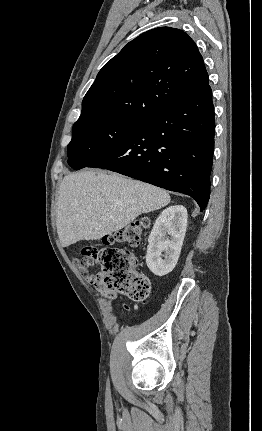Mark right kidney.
<instances>
[{
    "label": "right kidney",
    "mask_w": 262,
    "mask_h": 431,
    "mask_svg": "<svg viewBox=\"0 0 262 431\" xmlns=\"http://www.w3.org/2000/svg\"><path fill=\"white\" fill-rule=\"evenodd\" d=\"M187 210L170 206L156 219L148 238L146 264L158 276L170 273L177 264L187 228ZM170 235V239L166 236ZM162 252H165L162 259Z\"/></svg>",
    "instance_id": "obj_1"
}]
</instances>
